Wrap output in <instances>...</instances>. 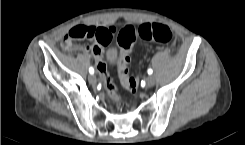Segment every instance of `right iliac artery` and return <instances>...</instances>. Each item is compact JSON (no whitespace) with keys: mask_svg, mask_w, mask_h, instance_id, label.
<instances>
[{"mask_svg":"<svg viewBox=\"0 0 245 145\" xmlns=\"http://www.w3.org/2000/svg\"><path fill=\"white\" fill-rule=\"evenodd\" d=\"M89 72L90 74H93L94 73V69L92 67L89 68Z\"/></svg>","mask_w":245,"mask_h":145,"instance_id":"obj_1","label":"right iliac artery"}]
</instances>
